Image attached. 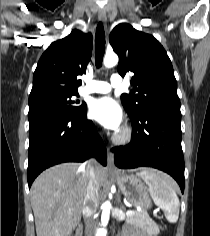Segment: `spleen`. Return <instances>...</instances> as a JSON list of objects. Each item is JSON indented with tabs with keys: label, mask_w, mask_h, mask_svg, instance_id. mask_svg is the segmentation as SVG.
I'll use <instances>...</instances> for the list:
<instances>
[{
	"label": "spleen",
	"mask_w": 210,
	"mask_h": 236,
	"mask_svg": "<svg viewBox=\"0 0 210 236\" xmlns=\"http://www.w3.org/2000/svg\"><path fill=\"white\" fill-rule=\"evenodd\" d=\"M137 175L148 185L154 203L163 209L166 219L177 222L180 203L168 176L155 170H143Z\"/></svg>",
	"instance_id": "obj_1"
}]
</instances>
